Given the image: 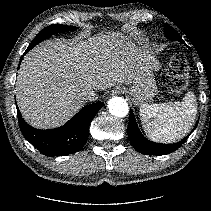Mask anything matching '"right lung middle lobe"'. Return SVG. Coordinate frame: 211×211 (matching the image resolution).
<instances>
[{"mask_svg":"<svg viewBox=\"0 0 211 211\" xmlns=\"http://www.w3.org/2000/svg\"><path fill=\"white\" fill-rule=\"evenodd\" d=\"M74 29H76V27L66 26L61 24H54L47 26L42 31H40V33L32 40L31 44L27 48V51L31 50L35 45H37L38 43H40L41 41L50 37L53 34L67 32Z\"/></svg>","mask_w":211,"mask_h":211,"instance_id":"right-lung-middle-lobe-1","label":"right lung middle lobe"}]
</instances>
